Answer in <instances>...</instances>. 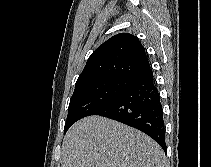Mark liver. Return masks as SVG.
I'll use <instances>...</instances> for the list:
<instances>
[{
	"instance_id": "6515ba94",
	"label": "liver",
	"mask_w": 211,
	"mask_h": 167,
	"mask_svg": "<svg viewBox=\"0 0 211 167\" xmlns=\"http://www.w3.org/2000/svg\"><path fill=\"white\" fill-rule=\"evenodd\" d=\"M61 155L62 167H166L153 139L101 116L76 122L64 137Z\"/></svg>"
}]
</instances>
